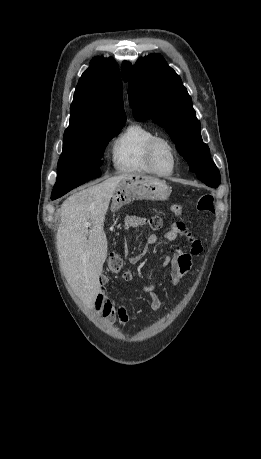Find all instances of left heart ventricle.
<instances>
[{"instance_id":"b2bd125f","label":"left heart ventricle","mask_w":261,"mask_h":459,"mask_svg":"<svg viewBox=\"0 0 261 459\" xmlns=\"http://www.w3.org/2000/svg\"><path fill=\"white\" fill-rule=\"evenodd\" d=\"M154 164L156 169L162 173H168L171 171L173 167V156L166 144L160 143L156 147L154 153Z\"/></svg>"}]
</instances>
